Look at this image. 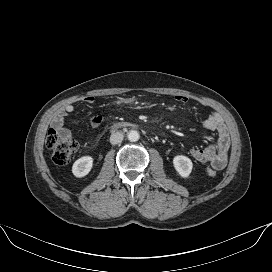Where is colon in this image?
I'll use <instances>...</instances> for the list:
<instances>
[{
  "instance_id": "obj_1",
  "label": "colon",
  "mask_w": 272,
  "mask_h": 272,
  "mask_svg": "<svg viewBox=\"0 0 272 272\" xmlns=\"http://www.w3.org/2000/svg\"><path fill=\"white\" fill-rule=\"evenodd\" d=\"M46 144L52 153V160L57 165L67 164L77 150V143L73 137L62 135L55 129L48 131ZM206 173L213 177L217 172L209 167Z\"/></svg>"
}]
</instances>
